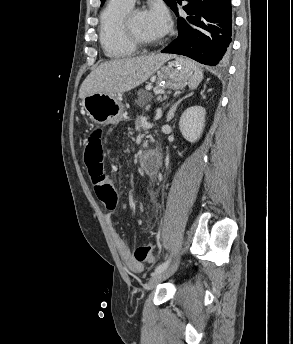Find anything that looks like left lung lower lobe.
<instances>
[{
  "mask_svg": "<svg viewBox=\"0 0 293 344\" xmlns=\"http://www.w3.org/2000/svg\"><path fill=\"white\" fill-rule=\"evenodd\" d=\"M183 9L189 16L178 18V37L161 52L184 55L206 65L224 64L232 41L231 1L189 0ZM172 10L179 16L176 2Z\"/></svg>",
  "mask_w": 293,
  "mask_h": 344,
  "instance_id": "left-lung-lower-lobe-1",
  "label": "left lung lower lobe"
}]
</instances>
